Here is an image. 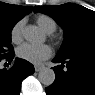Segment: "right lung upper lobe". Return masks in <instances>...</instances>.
<instances>
[{
  "mask_svg": "<svg viewBox=\"0 0 95 95\" xmlns=\"http://www.w3.org/2000/svg\"><path fill=\"white\" fill-rule=\"evenodd\" d=\"M32 7L12 5L7 3H0V16H11L23 18L26 14L31 12Z\"/></svg>",
  "mask_w": 95,
  "mask_h": 95,
  "instance_id": "obj_1",
  "label": "right lung upper lobe"
}]
</instances>
